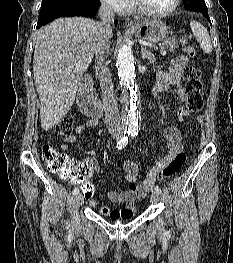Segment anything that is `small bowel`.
Here are the masks:
<instances>
[{
    "mask_svg": "<svg viewBox=\"0 0 233 263\" xmlns=\"http://www.w3.org/2000/svg\"><path fill=\"white\" fill-rule=\"evenodd\" d=\"M188 64V59L184 55L175 57L170 64L169 71H158L156 74V83L153 87V96L158 97L160 94L167 92L171 88L176 89V99L179 103L186 100V92L183 81V71ZM184 109L182 106L178 107L177 115L182 118ZM97 121L91 119L85 124H80L75 128V134L67 135L62 140L61 149L63 151L69 150V144L78 141V136L84 134L91 127H94ZM164 138L168 147L167 155L150 170L147 177L139 182L138 181V165L132 160H125L123 163V171L125 179L129 182L130 186L126 191H109L107 197L113 203L125 204L120 209H110L107 206H101L97 201L90 199L92 195H84L89 200V205L97 210L100 215L106 216L113 221L119 219H130L136 212V202L142 199L152 188L156 180L151 179L154 171L162 168L168 164L176 155L183 151V137L180 131L175 127H167L164 130ZM83 150L92 155L93 151L83 147ZM94 171L96 173L99 169L98 163L95 159L87 157L81 162L76 163L75 171ZM83 184V183H76Z\"/></svg>",
    "mask_w": 233,
    "mask_h": 263,
    "instance_id": "small-bowel-1",
    "label": "small bowel"
}]
</instances>
